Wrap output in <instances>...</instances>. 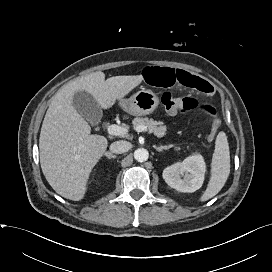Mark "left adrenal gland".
I'll use <instances>...</instances> for the list:
<instances>
[{"label":"left adrenal gland","instance_id":"1","mask_svg":"<svg viewBox=\"0 0 272 272\" xmlns=\"http://www.w3.org/2000/svg\"><path fill=\"white\" fill-rule=\"evenodd\" d=\"M173 147V145H168V146H159V147H156L155 146V149L158 151V152H162L163 150H166V149H169Z\"/></svg>","mask_w":272,"mask_h":272}]
</instances>
